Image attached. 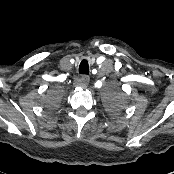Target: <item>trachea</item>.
Wrapping results in <instances>:
<instances>
[{"label": "trachea", "mask_w": 174, "mask_h": 174, "mask_svg": "<svg viewBox=\"0 0 174 174\" xmlns=\"http://www.w3.org/2000/svg\"><path fill=\"white\" fill-rule=\"evenodd\" d=\"M79 73L80 74H89V64L87 60H82L79 65Z\"/></svg>", "instance_id": "trachea-1"}]
</instances>
